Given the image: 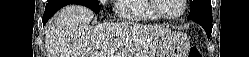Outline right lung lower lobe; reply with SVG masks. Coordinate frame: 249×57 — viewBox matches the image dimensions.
<instances>
[{"mask_svg":"<svg viewBox=\"0 0 249 57\" xmlns=\"http://www.w3.org/2000/svg\"><path fill=\"white\" fill-rule=\"evenodd\" d=\"M66 5H68V4L47 3L46 8H45V12L43 15V24L45 25V23L49 20V18H51L60 8L66 6Z\"/></svg>","mask_w":249,"mask_h":57,"instance_id":"obj_1","label":"right lung lower lobe"}]
</instances>
